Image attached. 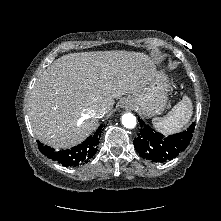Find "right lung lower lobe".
<instances>
[{"mask_svg": "<svg viewBox=\"0 0 221 221\" xmlns=\"http://www.w3.org/2000/svg\"><path fill=\"white\" fill-rule=\"evenodd\" d=\"M102 131L103 125H101L96 132L92 136H89L83 143L71 149L54 151V149L44 146L40 142H38V148L45 156L65 167H77L87 163L95 155Z\"/></svg>", "mask_w": 221, "mask_h": 221, "instance_id": "98d812e1", "label": "right lung lower lobe"}]
</instances>
